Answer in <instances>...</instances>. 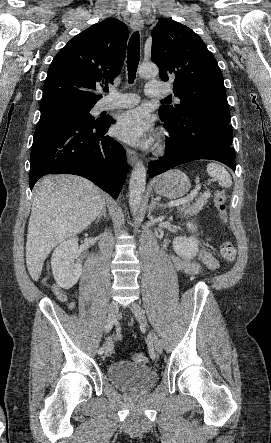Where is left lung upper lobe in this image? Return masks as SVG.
I'll return each mask as SVG.
<instances>
[{
	"label": "left lung upper lobe",
	"mask_w": 271,
	"mask_h": 443,
	"mask_svg": "<svg viewBox=\"0 0 271 443\" xmlns=\"http://www.w3.org/2000/svg\"><path fill=\"white\" fill-rule=\"evenodd\" d=\"M152 61L160 78H174V94L181 103L162 106L169 120L180 119L206 103L228 107L222 72L213 54L190 28L165 18L152 31Z\"/></svg>",
	"instance_id": "1"
}]
</instances>
